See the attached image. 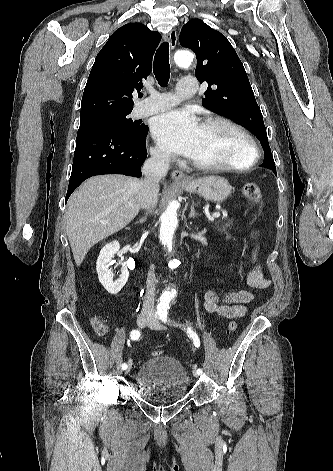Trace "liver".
Here are the masks:
<instances>
[{
	"mask_svg": "<svg viewBox=\"0 0 333 471\" xmlns=\"http://www.w3.org/2000/svg\"><path fill=\"white\" fill-rule=\"evenodd\" d=\"M141 181L123 175L88 179L67 203L66 232L75 262L92 246L127 226L138 214Z\"/></svg>",
	"mask_w": 333,
	"mask_h": 471,
	"instance_id": "1",
	"label": "liver"
}]
</instances>
